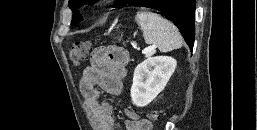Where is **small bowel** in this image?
Here are the masks:
<instances>
[{
    "label": "small bowel",
    "mask_w": 257,
    "mask_h": 130,
    "mask_svg": "<svg viewBox=\"0 0 257 130\" xmlns=\"http://www.w3.org/2000/svg\"><path fill=\"white\" fill-rule=\"evenodd\" d=\"M128 61L126 50L115 46L101 47L91 54L90 65L82 71L80 91L98 130H114L113 107L109 102L101 101V91L112 96L121 94ZM125 115L126 130L151 129V123L141 119L136 112L126 109Z\"/></svg>",
    "instance_id": "1"
}]
</instances>
